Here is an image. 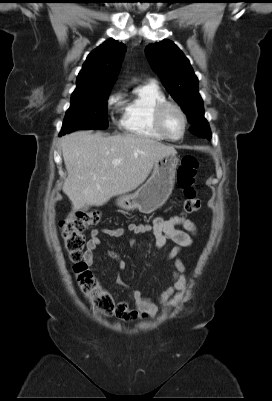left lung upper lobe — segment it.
<instances>
[{"label":"left lung upper lobe","mask_w":272,"mask_h":401,"mask_svg":"<svg viewBox=\"0 0 272 401\" xmlns=\"http://www.w3.org/2000/svg\"><path fill=\"white\" fill-rule=\"evenodd\" d=\"M152 69L160 77L164 87L180 104L191 123L190 132L211 138V131L204 118L203 100L198 90V78L189 60L169 40L150 44L145 48Z\"/></svg>","instance_id":"5c2ea615"}]
</instances>
